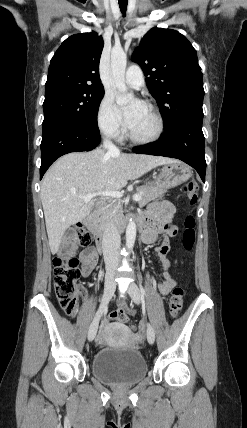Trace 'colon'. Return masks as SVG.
I'll return each instance as SVG.
<instances>
[{
    "mask_svg": "<svg viewBox=\"0 0 247 428\" xmlns=\"http://www.w3.org/2000/svg\"><path fill=\"white\" fill-rule=\"evenodd\" d=\"M183 192L187 196L191 205L198 201V187L195 181L190 180L183 186ZM195 219L188 215L184 223V232L182 236V246L184 250L191 251L195 245ZM91 235L82 225L77 224L72 227L68 235V243L53 258L54 267V288L58 302L63 311L68 316H75L78 311V298L82 293V287L78 281L81 275L79 260L77 258L78 247H86L91 243ZM184 290L176 286L170 295L169 311L175 318L179 315L183 306ZM139 314L135 309L126 308L117 310L111 314V317L121 325L129 324L133 316ZM130 328V325H127ZM132 331H137V326H132Z\"/></svg>",
    "mask_w": 247,
    "mask_h": 428,
    "instance_id": "5ec220e1",
    "label": "colon"
}]
</instances>
